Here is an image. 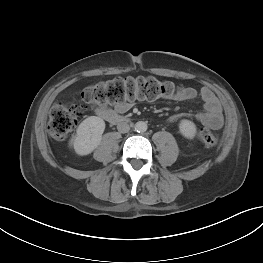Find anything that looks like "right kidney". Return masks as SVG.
<instances>
[{"mask_svg":"<svg viewBox=\"0 0 263 263\" xmlns=\"http://www.w3.org/2000/svg\"><path fill=\"white\" fill-rule=\"evenodd\" d=\"M105 129V122L97 116H90L79 125L72 145L79 155H88L93 152L101 142Z\"/></svg>","mask_w":263,"mask_h":263,"instance_id":"ca27d5eb","label":"right kidney"}]
</instances>
